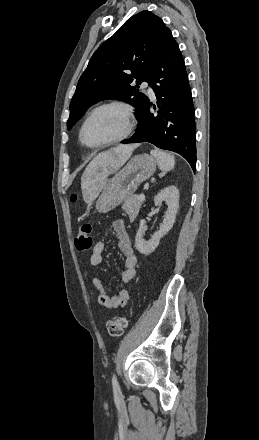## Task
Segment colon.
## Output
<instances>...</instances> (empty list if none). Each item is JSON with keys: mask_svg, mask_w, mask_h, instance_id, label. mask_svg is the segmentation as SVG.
<instances>
[{"mask_svg": "<svg viewBox=\"0 0 259 440\" xmlns=\"http://www.w3.org/2000/svg\"><path fill=\"white\" fill-rule=\"evenodd\" d=\"M76 195L72 196V201L76 202ZM93 245L92 225L88 222H83L79 225L77 237L75 239V246L78 251L89 250ZM128 326V319L126 317H113L107 322V330L110 336L118 338L122 336Z\"/></svg>", "mask_w": 259, "mask_h": 440, "instance_id": "obj_1", "label": "colon"}]
</instances>
